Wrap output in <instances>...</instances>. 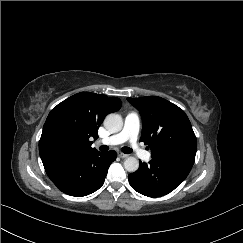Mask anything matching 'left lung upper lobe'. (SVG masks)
I'll return each instance as SVG.
<instances>
[{"label":"left lung upper lobe","mask_w":243,"mask_h":243,"mask_svg":"<svg viewBox=\"0 0 243 243\" xmlns=\"http://www.w3.org/2000/svg\"><path fill=\"white\" fill-rule=\"evenodd\" d=\"M143 121V141L151 149V157L170 152H196L197 140L185 112L158 96L127 98Z\"/></svg>","instance_id":"obj_1"}]
</instances>
